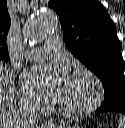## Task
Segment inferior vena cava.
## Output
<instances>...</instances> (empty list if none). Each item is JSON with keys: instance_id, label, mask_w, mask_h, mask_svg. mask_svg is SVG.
Returning a JSON list of instances; mask_svg holds the SVG:
<instances>
[{"instance_id": "obj_1", "label": "inferior vena cava", "mask_w": 125, "mask_h": 128, "mask_svg": "<svg viewBox=\"0 0 125 128\" xmlns=\"http://www.w3.org/2000/svg\"><path fill=\"white\" fill-rule=\"evenodd\" d=\"M39 109V104L36 102H27L23 110L21 111V117L23 118L24 128L32 127V124L37 118V111Z\"/></svg>"}]
</instances>
